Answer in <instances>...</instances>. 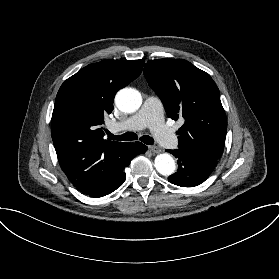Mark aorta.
<instances>
[{
	"label": "aorta",
	"mask_w": 279,
	"mask_h": 279,
	"mask_svg": "<svg viewBox=\"0 0 279 279\" xmlns=\"http://www.w3.org/2000/svg\"><path fill=\"white\" fill-rule=\"evenodd\" d=\"M118 109L125 113L137 111L142 104V96L136 89H121L115 97ZM156 170L163 176L172 175L175 172L176 164L173 157L168 153L159 154L154 161Z\"/></svg>",
	"instance_id": "obj_1"
}]
</instances>
